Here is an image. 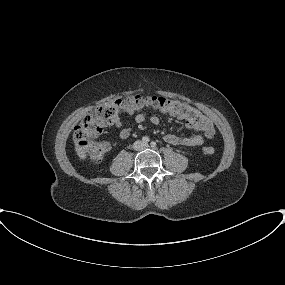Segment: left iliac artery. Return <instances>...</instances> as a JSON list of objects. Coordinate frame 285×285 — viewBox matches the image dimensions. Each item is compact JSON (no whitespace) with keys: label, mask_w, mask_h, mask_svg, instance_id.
<instances>
[{"label":"left iliac artery","mask_w":285,"mask_h":285,"mask_svg":"<svg viewBox=\"0 0 285 285\" xmlns=\"http://www.w3.org/2000/svg\"><path fill=\"white\" fill-rule=\"evenodd\" d=\"M151 147L155 148L156 147V143L155 142H151Z\"/></svg>","instance_id":"1"}]
</instances>
